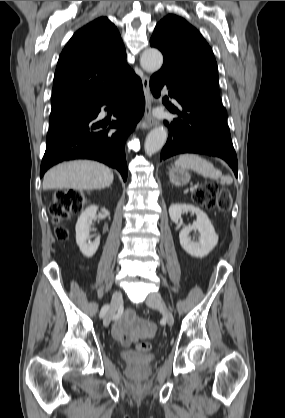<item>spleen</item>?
I'll return each instance as SVG.
<instances>
[{"label":"spleen","instance_id":"1","mask_svg":"<svg viewBox=\"0 0 285 418\" xmlns=\"http://www.w3.org/2000/svg\"><path fill=\"white\" fill-rule=\"evenodd\" d=\"M175 166L184 169H191L201 174L203 177L211 179H221L222 182L231 184L233 179L231 176H224L222 172L214 167L208 160L196 154H183L174 163Z\"/></svg>","mask_w":285,"mask_h":418}]
</instances>
